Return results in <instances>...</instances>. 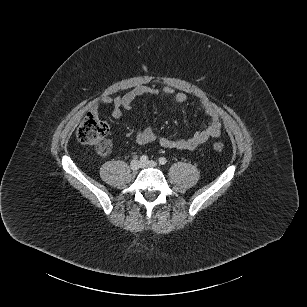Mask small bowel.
I'll return each instance as SVG.
<instances>
[{
  "label": "small bowel",
  "mask_w": 307,
  "mask_h": 307,
  "mask_svg": "<svg viewBox=\"0 0 307 307\" xmlns=\"http://www.w3.org/2000/svg\"><path fill=\"white\" fill-rule=\"evenodd\" d=\"M159 92L158 89L139 85L128 91L123 95L109 96L104 98L100 104L111 107V115L113 118H120L125 110L132 108L135 99L141 96L155 95ZM163 94L171 96L176 104H184L187 101V95L182 92H175L170 87L162 89ZM199 106L205 116L208 118L207 124L200 130L193 133L190 137L181 140H172L167 137H160L158 143L161 147L166 149H177L190 151L198 146L204 144L211 138H218L221 134V121L218 112L213 105L207 101H199ZM99 105L93 108V112L98 110ZM156 139L154 131L145 127L136 134V142L139 144H146Z\"/></svg>",
  "instance_id": "small-bowel-1"
}]
</instances>
